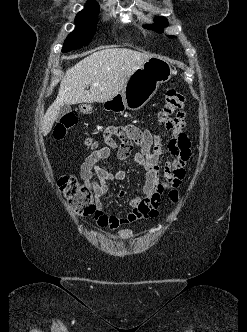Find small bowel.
Returning a JSON list of instances; mask_svg holds the SVG:
<instances>
[{
    "mask_svg": "<svg viewBox=\"0 0 247 332\" xmlns=\"http://www.w3.org/2000/svg\"><path fill=\"white\" fill-rule=\"evenodd\" d=\"M184 120L173 131L168 150L173 160L160 167L159 159L163 153L160 136L153 135L147 129L135 125L110 126L104 136L106 146L92 152L81 165L80 175L85 186L92 191L96 204V223L114 231L123 225L158 215L162 196L179 187L185 178V165L190 158V140L184 132ZM113 136L120 139L117 144ZM136 150V151H135ZM115 152L120 161L133 155L134 162L146 173L143 196L130 199L131 211L125 216L109 215L104 211L102 197L108 192L110 182L123 181L126 174L122 170L110 172L99 165ZM162 172V179H161ZM124 191L119 192L124 197Z\"/></svg>",
    "mask_w": 247,
    "mask_h": 332,
    "instance_id": "c3829d8e",
    "label": "small bowel"
}]
</instances>
